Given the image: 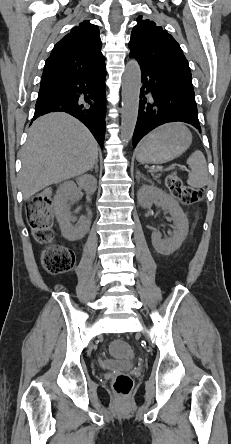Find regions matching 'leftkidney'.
<instances>
[{"instance_id":"1","label":"left kidney","mask_w":231,"mask_h":444,"mask_svg":"<svg viewBox=\"0 0 231 444\" xmlns=\"http://www.w3.org/2000/svg\"><path fill=\"white\" fill-rule=\"evenodd\" d=\"M137 198L143 208H151L155 201H159L162 209L170 213L174 223L172 236L162 240L160 233L154 231L151 238L153 247L158 253L162 255L172 254L181 246L188 234L187 215L172 196L155 186L143 185L138 191Z\"/></svg>"}]
</instances>
